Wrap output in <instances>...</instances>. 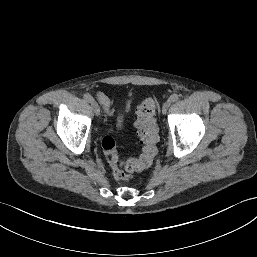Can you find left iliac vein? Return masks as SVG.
<instances>
[{
    "label": "left iliac vein",
    "instance_id": "1",
    "mask_svg": "<svg viewBox=\"0 0 257 257\" xmlns=\"http://www.w3.org/2000/svg\"><path fill=\"white\" fill-rule=\"evenodd\" d=\"M171 105V101L170 100H167L164 104H163V107H162V113L163 114H166L168 108L170 107Z\"/></svg>",
    "mask_w": 257,
    "mask_h": 257
}]
</instances>
